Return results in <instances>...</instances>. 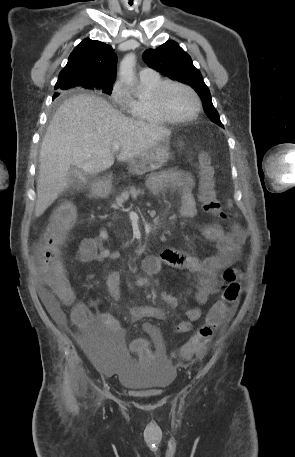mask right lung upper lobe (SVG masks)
<instances>
[{
  "mask_svg": "<svg viewBox=\"0 0 295 457\" xmlns=\"http://www.w3.org/2000/svg\"><path fill=\"white\" fill-rule=\"evenodd\" d=\"M117 56L112 47L91 39H84L69 56L61 70L55 89H69L74 84H85V89L113 84L116 79Z\"/></svg>",
  "mask_w": 295,
  "mask_h": 457,
  "instance_id": "obj_1",
  "label": "right lung upper lobe"
}]
</instances>
